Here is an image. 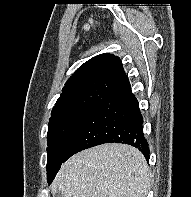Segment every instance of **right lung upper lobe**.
<instances>
[{
    "instance_id": "obj_1",
    "label": "right lung upper lobe",
    "mask_w": 191,
    "mask_h": 197,
    "mask_svg": "<svg viewBox=\"0 0 191 197\" xmlns=\"http://www.w3.org/2000/svg\"><path fill=\"white\" fill-rule=\"evenodd\" d=\"M128 81L119 57L97 55L82 64L68 79L51 114L94 106L113 89Z\"/></svg>"
}]
</instances>
